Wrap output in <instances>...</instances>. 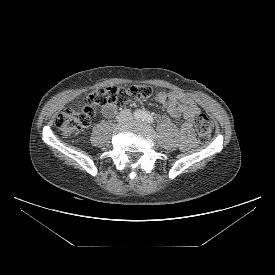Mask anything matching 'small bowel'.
<instances>
[{
	"label": "small bowel",
	"instance_id": "1",
	"mask_svg": "<svg viewBox=\"0 0 275 275\" xmlns=\"http://www.w3.org/2000/svg\"><path fill=\"white\" fill-rule=\"evenodd\" d=\"M159 103L173 118H183L184 125L180 128V143L182 149H189L195 144L194 122L200 113L195 101L179 91L160 92ZM117 112L116 104L105 105L102 109L104 116L110 118Z\"/></svg>",
	"mask_w": 275,
	"mask_h": 275
}]
</instances>
